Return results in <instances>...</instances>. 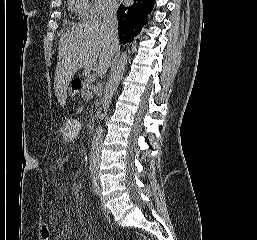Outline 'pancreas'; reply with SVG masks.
<instances>
[{
  "label": "pancreas",
  "mask_w": 257,
  "mask_h": 240,
  "mask_svg": "<svg viewBox=\"0 0 257 240\" xmlns=\"http://www.w3.org/2000/svg\"><path fill=\"white\" fill-rule=\"evenodd\" d=\"M90 87H91V80L88 78V79L85 81V83L83 84V87H82V90H81V95H82V97H83L84 99H88V98H89L88 95H87V93H88Z\"/></svg>",
  "instance_id": "1"
}]
</instances>
